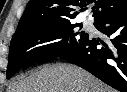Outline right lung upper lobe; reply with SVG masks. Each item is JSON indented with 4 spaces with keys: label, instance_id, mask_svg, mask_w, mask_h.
<instances>
[{
    "label": "right lung upper lobe",
    "instance_id": "1",
    "mask_svg": "<svg viewBox=\"0 0 127 92\" xmlns=\"http://www.w3.org/2000/svg\"><path fill=\"white\" fill-rule=\"evenodd\" d=\"M92 2H95L93 7L95 21L127 9V0H91ZM89 3L90 0H30L12 39L21 36L33 27L70 24V20L79 13L75 11V7L84 10Z\"/></svg>",
    "mask_w": 127,
    "mask_h": 92
}]
</instances>
